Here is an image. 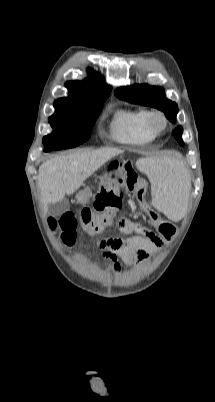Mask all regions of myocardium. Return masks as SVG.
<instances>
[{"label":"myocardium","instance_id":"1","mask_svg":"<svg viewBox=\"0 0 215 402\" xmlns=\"http://www.w3.org/2000/svg\"><path fill=\"white\" fill-rule=\"evenodd\" d=\"M146 125L152 133L158 135L167 129L168 119L164 112L151 110L147 112Z\"/></svg>","mask_w":215,"mask_h":402}]
</instances>
